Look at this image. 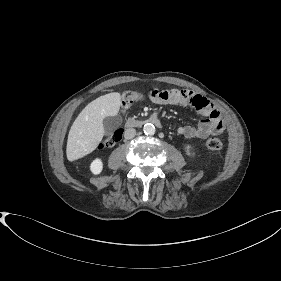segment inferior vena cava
<instances>
[{
  "instance_id": "obj_1",
  "label": "inferior vena cava",
  "mask_w": 281,
  "mask_h": 281,
  "mask_svg": "<svg viewBox=\"0 0 281 281\" xmlns=\"http://www.w3.org/2000/svg\"><path fill=\"white\" fill-rule=\"evenodd\" d=\"M136 135V130L134 128H128L124 131V137L126 139H132Z\"/></svg>"
}]
</instances>
